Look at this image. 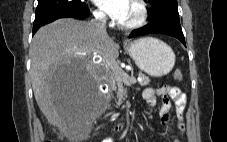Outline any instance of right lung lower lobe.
Returning <instances> with one entry per match:
<instances>
[{
	"instance_id": "98d812e1",
	"label": "right lung lower lobe",
	"mask_w": 227,
	"mask_h": 142,
	"mask_svg": "<svg viewBox=\"0 0 227 142\" xmlns=\"http://www.w3.org/2000/svg\"><path fill=\"white\" fill-rule=\"evenodd\" d=\"M90 14L89 9L84 7L78 8H62L49 10L41 13H37L33 23V34L43 25L50 23L59 18L73 17L76 19L84 20Z\"/></svg>"
}]
</instances>
